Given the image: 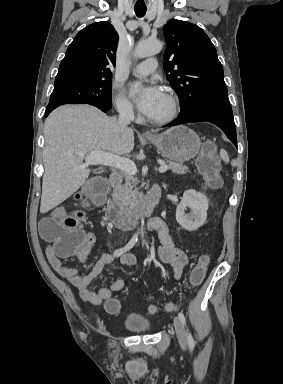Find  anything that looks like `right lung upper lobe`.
Wrapping results in <instances>:
<instances>
[{
    "mask_svg": "<svg viewBox=\"0 0 283 384\" xmlns=\"http://www.w3.org/2000/svg\"><path fill=\"white\" fill-rule=\"evenodd\" d=\"M118 34L108 22H96L81 30L61 61L55 86L111 79Z\"/></svg>",
    "mask_w": 283,
    "mask_h": 384,
    "instance_id": "cb5924a9",
    "label": "right lung upper lobe"
}]
</instances>
